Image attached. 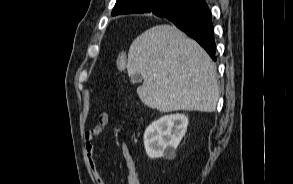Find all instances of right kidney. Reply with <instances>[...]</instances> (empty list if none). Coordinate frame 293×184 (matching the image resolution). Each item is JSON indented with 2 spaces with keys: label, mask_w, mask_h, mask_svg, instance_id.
<instances>
[{
  "label": "right kidney",
  "mask_w": 293,
  "mask_h": 184,
  "mask_svg": "<svg viewBox=\"0 0 293 184\" xmlns=\"http://www.w3.org/2000/svg\"><path fill=\"white\" fill-rule=\"evenodd\" d=\"M187 126L188 117L178 113L163 116L151 123L144 133V146L148 157L173 159Z\"/></svg>",
  "instance_id": "right-kidney-1"
}]
</instances>
